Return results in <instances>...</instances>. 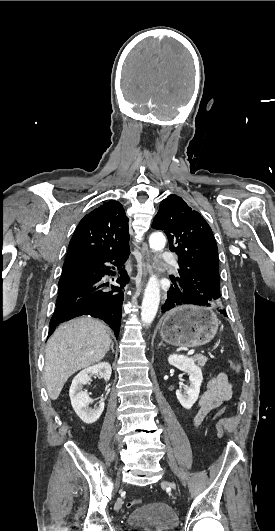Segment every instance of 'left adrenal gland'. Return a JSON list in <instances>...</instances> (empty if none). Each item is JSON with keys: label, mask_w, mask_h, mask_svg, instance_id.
Instances as JSON below:
<instances>
[{"label": "left adrenal gland", "mask_w": 275, "mask_h": 531, "mask_svg": "<svg viewBox=\"0 0 275 531\" xmlns=\"http://www.w3.org/2000/svg\"><path fill=\"white\" fill-rule=\"evenodd\" d=\"M161 345H162V347H165L164 343H162V341H161V343H159V345H158V349H159V347H161Z\"/></svg>", "instance_id": "1"}]
</instances>
